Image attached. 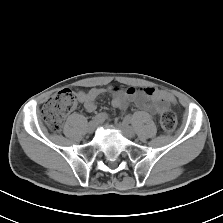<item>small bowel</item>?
I'll return each instance as SVG.
<instances>
[{"mask_svg":"<svg viewBox=\"0 0 223 223\" xmlns=\"http://www.w3.org/2000/svg\"><path fill=\"white\" fill-rule=\"evenodd\" d=\"M112 94V105L118 110L124 112L129 102H134L140 109L147 110L153 114L160 113L168 105L176 104L175 98L166 91L158 90L152 87H129L126 89L109 86L107 88H91L88 91H79L77 99L83 104L87 112H93L96 109V99L105 94ZM103 114L105 119L106 113Z\"/></svg>","mask_w":223,"mask_h":223,"instance_id":"c3829d8e","label":"small bowel"}]
</instances>
